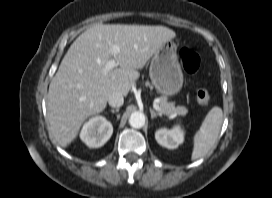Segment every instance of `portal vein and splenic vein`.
Instances as JSON below:
<instances>
[{
    "instance_id": "1",
    "label": "portal vein and splenic vein",
    "mask_w": 272,
    "mask_h": 198,
    "mask_svg": "<svg viewBox=\"0 0 272 198\" xmlns=\"http://www.w3.org/2000/svg\"><path fill=\"white\" fill-rule=\"evenodd\" d=\"M112 51L114 54H117L120 51L119 46L114 45L112 48ZM118 65V63L116 62L115 59H111L110 61L107 62L106 67H105V71H109L114 69L116 66ZM153 107L156 111L162 113V109L160 108V106L158 104H153Z\"/></svg>"
}]
</instances>
